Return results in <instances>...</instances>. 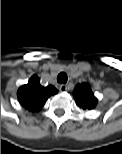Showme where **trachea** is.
<instances>
[{
	"mask_svg": "<svg viewBox=\"0 0 122 154\" xmlns=\"http://www.w3.org/2000/svg\"><path fill=\"white\" fill-rule=\"evenodd\" d=\"M68 80V76L65 72H61L60 74H58L57 76V82L58 83H62L65 84Z\"/></svg>",
	"mask_w": 122,
	"mask_h": 154,
	"instance_id": "obj_1",
	"label": "trachea"
}]
</instances>
